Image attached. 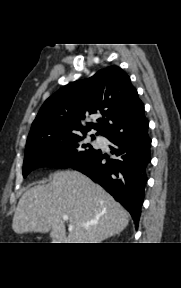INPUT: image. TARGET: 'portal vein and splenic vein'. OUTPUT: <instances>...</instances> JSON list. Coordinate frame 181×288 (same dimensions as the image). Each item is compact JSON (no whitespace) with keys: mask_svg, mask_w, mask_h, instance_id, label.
Wrapping results in <instances>:
<instances>
[{"mask_svg":"<svg viewBox=\"0 0 181 288\" xmlns=\"http://www.w3.org/2000/svg\"><path fill=\"white\" fill-rule=\"evenodd\" d=\"M63 220L64 221H68V219H69V217L67 216V215H64L63 217ZM85 226H88V225H90V224H84Z\"/></svg>","mask_w":181,"mask_h":288,"instance_id":"portal-vein-and-splenic-vein-1","label":"portal vein and splenic vein"}]
</instances>
